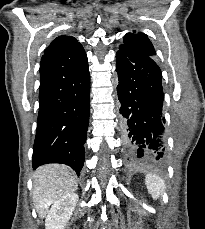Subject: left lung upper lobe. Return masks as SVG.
I'll use <instances>...</instances> for the list:
<instances>
[{"label": "left lung upper lobe", "mask_w": 205, "mask_h": 229, "mask_svg": "<svg viewBox=\"0 0 205 229\" xmlns=\"http://www.w3.org/2000/svg\"><path fill=\"white\" fill-rule=\"evenodd\" d=\"M133 32L134 33H128L125 35L123 44L130 46L151 57H154L155 50L147 35L142 32L135 33L136 30H134Z\"/></svg>", "instance_id": "5c2ea615"}]
</instances>
